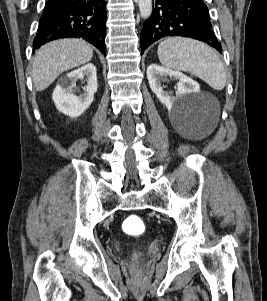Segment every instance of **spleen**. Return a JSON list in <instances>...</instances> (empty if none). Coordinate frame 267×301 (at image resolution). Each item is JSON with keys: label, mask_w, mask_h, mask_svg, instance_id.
Wrapping results in <instances>:
<instances>
[{"label": "spleen", "mask_w": 267, "mask_h": 301, "mask_svg": "<svg viewBox=\"0 0 267 301\" xmlns=\"http://www.w3.org/2000/svg\"><path fill=\"white\" fill-rule=\"evenodd\" d=\"M161 64L169 69L189 72L215 90L226 85V71L216 52L203 42L184 37H169L157 50Z\"/></svg>", "instance_id": "3e777b00"}]
</instances>
